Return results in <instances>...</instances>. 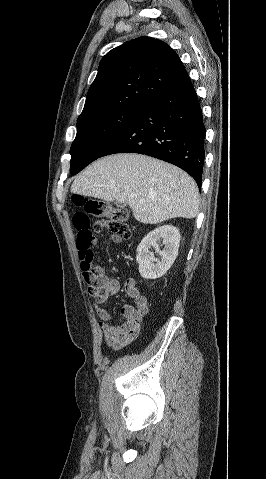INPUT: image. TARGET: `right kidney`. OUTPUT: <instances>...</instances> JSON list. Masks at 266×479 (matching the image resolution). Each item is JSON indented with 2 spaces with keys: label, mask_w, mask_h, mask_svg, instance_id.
Here are the masks:
<instances>
[{
  "label": "right kidney",
  "mask_w": 266,
  "mask_h": 479,
  "mask_svg": "<svg viewBox=\"0 0 266 479\" xmlns=\"http://www.w3.org/2000/svg\"><path fill=\"white\" fill-rule=\"evenodd\" d=\"M158 241L164 245L163 250H160ZM179 243V230L172 225L160 226L147 234L137 248L136 261L139 264L140 275L144 279H157L163 276L178 255ZM151 247L159 253L160 260L149 251Z\"/></svg>",
  "instance_id": "obj_1"
}]
</instances>
